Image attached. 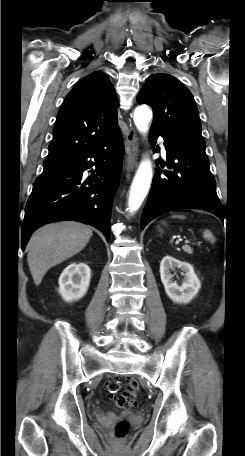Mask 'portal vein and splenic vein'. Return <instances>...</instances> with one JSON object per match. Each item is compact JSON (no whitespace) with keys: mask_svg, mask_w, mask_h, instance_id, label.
<instances>
[{"mask_svg":"<svg viewBox=\"0 0 245 456\" xmlns=\"http://www.w3.org/2000/svg\"><path fill=\"white\" fill-rule=\"evenodd\" d=\"M190 241L189 240H184V244H189Z\"/></svg>","mask_w":245,"mask_h":456,"instance_id":"1","label":"portal vein and splenic vein"}]
</instances>
